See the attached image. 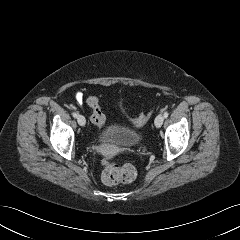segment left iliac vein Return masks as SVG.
Segmentation results:
<instances>
[{
	"mask_svg": "<svg viewBox=\"0 0 240 240\" xmlns=\"http://www.w3.org/2000/svg\"><path fill=\"white\" fill-rule=\"evenodd\" d=\"M164 121V116L162 114L157 115V117L155 118V126L157 128H160L163 124Z\"/></svg>",
	"mask_w": 240,
	"mask_h": 240,
	"instance_id": "obj_1",
	"label": "left iliac vein"
}]
</instances>
